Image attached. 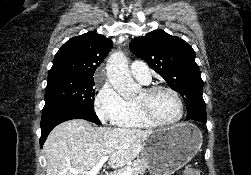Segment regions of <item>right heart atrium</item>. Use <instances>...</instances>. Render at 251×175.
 Listing matches in <instances>:
<instances>
[{
	"label": "right heart atrium",
	"mask_w": 251,
	"mask_h": 175,
	"mask_svg": "<svg viewBox=\"0 0 251 175\" xmlns=\"http://www.w3.org/2000/svg\"><path fill=\"white\" fill-rule=\"evenodd\" d=\"M98 83L99 89L93 101L94 111L101 121L118 124L127 115L129 103L103 76L98 78Z\"/></svg>",
	"instance_id": "d8ad5b80"
}]
</instances>
